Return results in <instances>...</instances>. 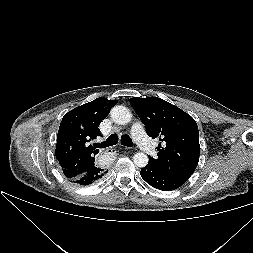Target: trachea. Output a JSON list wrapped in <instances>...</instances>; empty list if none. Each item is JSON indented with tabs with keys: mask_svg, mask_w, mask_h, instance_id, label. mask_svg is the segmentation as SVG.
I'll return each mask as SVG.
<instances>
[{
	"mask_svg": "<svg viewBox=\"0 0 253 253\" xmlns=\"http://www.w3.org/2000/svg\"><path fill=\"white\" fill-rule=\"evenodd\" d=\"M117 143L118 136L116 134H112L106 139V141L102 142L101 144H96V148H106L109 146L116 145ZM121 144L127 147L133 146L132 140L128 135L121 136Z\"/></svg>",
	"mask_w": 253,
	"mask_h": 253,
	"instance_id": "obj_1",
	"label": "trachea"
}]
</instances>
